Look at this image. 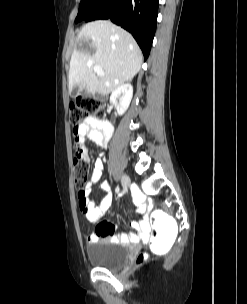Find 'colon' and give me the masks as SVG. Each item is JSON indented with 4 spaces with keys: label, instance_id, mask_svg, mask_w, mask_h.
Masks as SVG:
<instances>
[{
    "label": "colon",
    "instance_id": "colon-1",
    "mask_svg": "<svg viewBox=\"0 0 247 304\" xmlns=\"http://www.w3.org/2000/svg\"><path fill=\"white\" fill-rule=\"evenodd\" d=\"M104 115L105 104L99 97H79L70 103L69 120L74 132L85 119L90 117L101 119ZM73 174L78 195L82 197L88 183L89 163L78 162L74 156ZM150 215L153 218L150 221L151 237L147 239V253H170L173 240H176V220H172V214H167L166 210H151ZM145 257V254H140L136 259V264H141Z\"/></svg>",
    "mask_w": 247,
    "mask_h": 304
}]
</instances>
